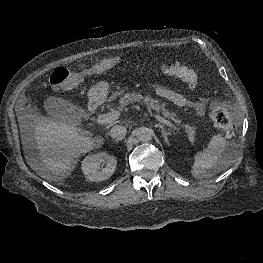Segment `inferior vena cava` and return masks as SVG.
<instances>
[{"label":"inferior vena cava","instance_id":"1","mask_svg":"<svg viewBox=\"0 0 263 263\" xmlns=\"http://www.w3.org/2000/svg\"><path fill=\"white\" fill-rule=\"evenodd\" d=\"M126 128L124 126L116 125L111 128L109 135L116 141L124 139L126 136Z\"/></svg>","mask_w":263,"mask_h":263}]
</instances>
